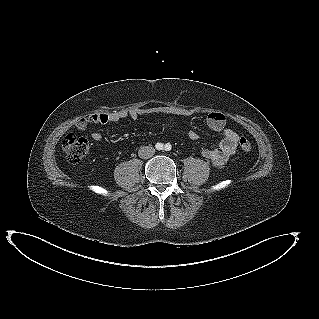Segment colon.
<instances>
[{
    "label": "colon",
    "mask_w": 319,
    "mask_h": 319,
    "mask_svg": "<svg viewBox=\"0 0 319 319\" xmlns=\"http://www.w3.org/2000/svg\"><path fill=\"white\" fill-rule=\"evenodd\" d=\"M239 146L244 152H250L252 149V143L246 138H241L239 140ZM62 149L65 154L66 160L69 163L76 164L79 163L87 155L89 150V143L87 139L83 137L69 134L63 140Z\"/></svg>",
    "instance_id": "colon-1"
}]
</instances>
